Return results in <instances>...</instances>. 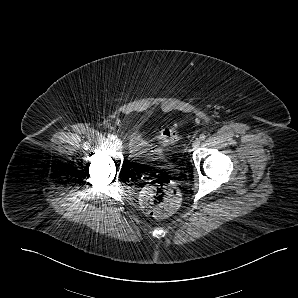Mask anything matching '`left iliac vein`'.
<instances>
[{
	"label": "left iliac vein",
	"instance_id": "obj_1",
	"mask_svg": "<svg viewBox=\"0 0 298 298\" xmlns=\"http://www.w3.org/2000/svg\"><path fill=\"white\" fill-rule=\"evenodd\" d=\"M200 144H201L200 139H196V140L192 143V147H193L194 149H196V148H198V147L200 146Z\"/></svg>",
	"mask_w": 298,
	"mask_h": 298
}]
</instances>
